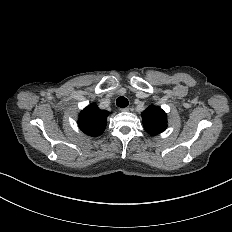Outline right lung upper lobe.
Here are the masks:
<instances>
[{
  "label": "right lung upper lobe",
  "instance_id": "cb5924a9",
  "mask_svg": "<svg viewBox=\"0 0 232 232\" xmlns=\"http://www.w3.org/2000/svg\"><path fill=\"white\" fill-rule=\"evenodd\" d=\"M108 114V111L101 110L96 103H92L80 112L78 119L79 128L85 134L97 137L105 130Z\"/></svg>",
  "mask_w": 232,
  "mask_h": 232
}]
</instances>
